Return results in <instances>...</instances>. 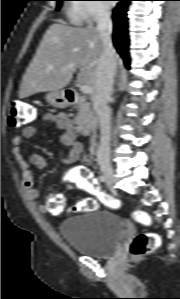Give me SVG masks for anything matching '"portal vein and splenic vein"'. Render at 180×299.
Listing matches in <instances>:
<instances>
[{
	"label": "portal vein and splenic vein",
	"mask_w": 180,
	"mask_h": 299,
	"mask_svg": "<svg viewBox=\"0 0 180 299\" xmlns=\"http://www.w3.org/2000/svg\"><path fill=\"white\" fill-rule=\"evenodd\" d=\"M50 70L53 69L52 66H49L48 67ZM79 88H80V91L84 94H91L93 92V89L91 86L89 85H79Z\"/></svg>",
	"instance_id": "18ae733b"
}]
</instances>
